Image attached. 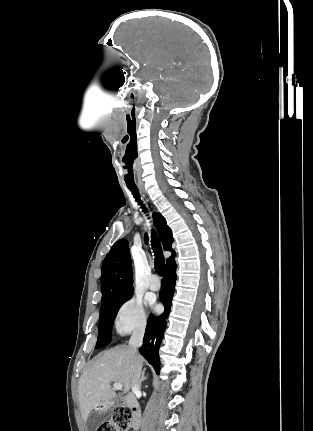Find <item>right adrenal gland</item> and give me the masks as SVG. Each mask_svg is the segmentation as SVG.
Segmentation results:
<instances>
[{
    "label": "right adrenal gland",
    "mask_w": 313,
    "mask_h": 431,
    "mask_svg": "<svg viewBox=\"0 0 313 431\" xmlns=\"http://www.w3.org/2000/svg\"><path fill=\"white\" fill-rule=\"evenodd\" d=\"M145 371H146V368H144L143 371H142V373H141L140 387L142 385V382L145 381V380H147V377L145 376Z\"/></svg>",
    "instance_id": "2a0ac1e0"
}]
</instances>
